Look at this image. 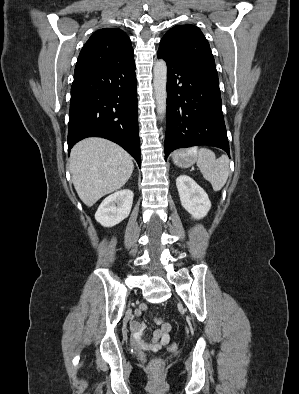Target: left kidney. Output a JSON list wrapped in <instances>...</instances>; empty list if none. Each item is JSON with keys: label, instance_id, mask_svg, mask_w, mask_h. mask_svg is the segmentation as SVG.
Masks as SVG:
<instances>
[{"label": "left kidney", "instance_id": "left-kidney-1", "mask_svg": "<svg viewBox=\"0 0 299 394\" xmlns=\"http://www.w3.org/2000/svg\"><path fill=\"white\" fill-rule=\"evenodd\" d=\"M181 205L192 218L202 219L211 208L207 193L191 177L180 175L176 179Z\"/></svg>", "mask_w": 299, "mask_h": 394}]
</instances>
